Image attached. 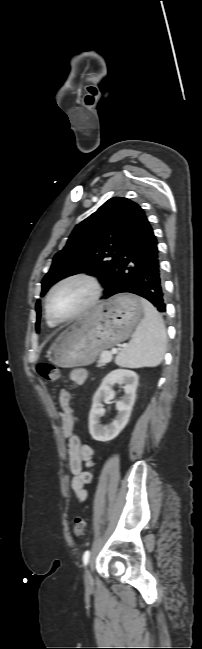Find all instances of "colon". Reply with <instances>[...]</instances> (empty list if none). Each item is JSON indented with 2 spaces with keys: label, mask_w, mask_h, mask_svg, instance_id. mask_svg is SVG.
<instances>
[{
  "label": "colon",
  "mask_w": 202,
  "mask_h": 649,
  "mask_svg": "<svg viewBox=\"0 0 202 649\" xmlns=\"http://www.w3.org/2000/svg\"><path fill=\"white\" fill-rule=\"evenodd\" d=\"M39 375L47 381H56L60 376L59 369L50 363H40L37 366ZM74 535L77 538L82 537L87 531V524L83 517H77L74 521Z\"/></svg>",
  "instance_id": "obj_1"
}]
</instances>
